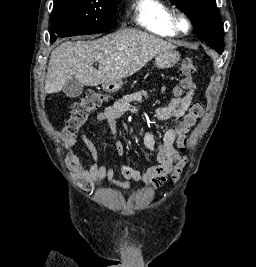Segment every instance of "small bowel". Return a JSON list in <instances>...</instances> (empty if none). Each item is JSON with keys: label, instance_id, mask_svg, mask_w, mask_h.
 Here are the masks:
<instances>
[{"label": "small bowel", "instance_id": "c3829d8e", "mask_svg": "<svg viewBox=\"0 0 256 267\" xmlns=\"http://www.w3.org/2000/svg\"><path fill=\"white\" fill-rule=\"evenodd\" d=\"M194 92V88L188 89L183 95L172 99L166 105L158 108L155 112L156 119L167 121L170 118H184L192 103ZM148 95L149 92L147 90H139L122 95L111 106L100 112L97 115V120L107 125L113 135L116 136L118 129L117 120L127 113H134L135 110L132 108V104L147 98ZM175 129L167 128L159 143L151 133L145 132L143 134L144 145L150 151L157 152L158 161V165L150 167L145 172H141L124 163L111 166L99 165L98 150L85 132L79 135H71L66 139V145L70 148L68 159L72 176L79 186L86 191L94 190L103 181H109L120 188H128L130 181H140L153 188H157L165 181L167 175L172 171L174 164L180 158L177 146L180 150H184L181 146L180 138H176ZM79 145L85 146L92 157L88 168L82 165L80 157L73 150V148ZM114 151L118 155H123L124 153V144L118 138L114 140ZM117 172L123 176L125 181L115 179Z\"/></svg>", "mask_w": 256, "mask_h": 267}]
</instances>
